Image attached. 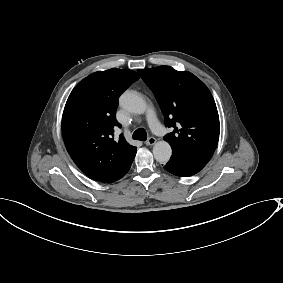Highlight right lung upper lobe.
<instances>
[{
  "mask_svg": "<svg viewBox=\"0 0 283 283\" xmlns=\"http://www.w3.org/2000/svg\"><path fill=\"white\" fill-rule=\"evenodd\" d=\"M139 79L132 70L95 72L72 90L62 117V134L71 158L93 180L112 183L129 170L136 147L114 140L118 98Z\"/></svg>",
  "mask_w": 283,
  "mask_h": 283,
  "instance_id": "obj_1",
  "label": "right lung upper lobe"
}]
</instances>
